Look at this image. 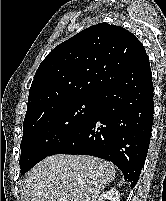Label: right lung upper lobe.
<instances>
[{
	"instance_id": "cb5924a9",
	"label": "right lung upper lobe",
	"mask_w": 166,
	"mask_h": 201,
	"mask_svg": "<svg viewBox=\"0 0 166 201\" xmlns=\"http://www.w3.org/2000/svg\"><path fill=\"white\" fill-rule=\"evenodd\" d=\"M145 55L142 43L123 27L99 23L84 29L40 64L25 117L75 98L100 95Z\"/></svg>"
}]
</instances>
